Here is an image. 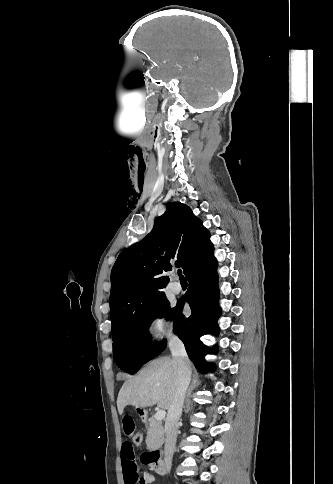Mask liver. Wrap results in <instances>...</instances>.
I'll use <instances>...</instances> for the list:
<instances>
[{
	"label": "liver",
	"instance_id": "1",
	"mask_svg": "<svg viewBox=\"0 0 333 484\" xmlns=\"http://www.w3.org/2000/svg\"><path fill=\"white\" fill-rule=\"evenodd\" d=\"M177 385V362L169 357L152 360L122 385L117 398L118 412L122 415L127 405L136 408L157 405L169 410Z\"/></svg>",
	"mask_w": 333,
	"mask_h": 484
}]
</instances>
